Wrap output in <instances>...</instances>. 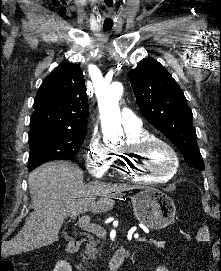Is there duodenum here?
I'll return each mask as SVG.
<instances>
[{
	"label": "duodenum",
	"instance_id": "obj_1",
	"mask_svg": "<svg viewBox=\"0 0 221 271\" xmlns=\"http://www.w3.org/2000/svg\"><path fill=\"white\" fill-rule=\"evenodd\" d=\"M81 243H82L81 240H70L67 246L65 247V258L72 262L75 270L77 271H85L84 267L74 259V255L78 251ZM128 257H129L128 250L124 248L118 249L111 258L109 270L118 271Z\"/></svg>",
	"mask_w": 221,
	"mask_h": 271
}]
</instances>
